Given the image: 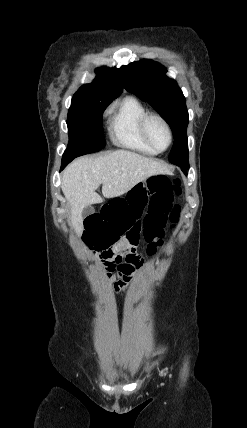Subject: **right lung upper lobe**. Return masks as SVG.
<instances>
[{
  "label": "right lung upper lobe",
  "instance_id": "right-lung-upper-lobe-1",
  "mask_svg": "<svg viewBox=\"0 0 247 428\" xmlns=\"http://www.w3.org/2000/svg\"><path fill=\"white\" fill-rule=\"evenodd\" d=\"M96 78L90 84L81 86L74 96H91L112 102L122 90L120 72L117 68H99Z\"/></svg>",
  "mask_w": 247,
  "mask_h": 428
}]
</instances>
